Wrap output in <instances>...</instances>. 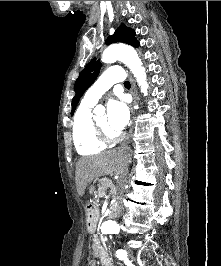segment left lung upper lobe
I'll use <instances>...</instances> for the list:
<instances>
[{
    "label": "left lung upper lobe",
    "instance_id": "obj_1",
    "mask_svg": "<svg viewBox=\"0 0 221 266\" xmlns=\"http://www.w3.org/2000/svg\"><path fill=\"white\" fill-rule=\"evenodd\" d=\"M135 35L136 34L133 29L125 26L124 24H121L119 28H117V30L114 32V34L107 38L106 44L123 42L130 44L134 47H138L139 42L137 41ZM100 68H101L100 60L96 61V59L94 58L86 65V67L83 69V71L80 73L79 77L77 78L74 87L76 94L72 100V112H71L72 115L76 109V105L78 104L85 90L97 78Z\"/></svg>",
    "mask_w": 221,
    "mask_h": 266
}]
</instances>
